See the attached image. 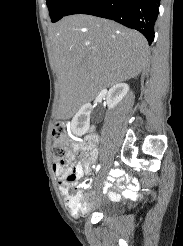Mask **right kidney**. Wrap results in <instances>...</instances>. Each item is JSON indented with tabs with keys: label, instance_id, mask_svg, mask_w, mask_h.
Segmentation results:
<instances>
[{
	"label": "right kidney",
	"instance_id": "1",
	"mask_svg": "<svg viewBox=\"0 0 183 246\" xmlns=\"http://www.w3.org/2000/svg\"><path fill=\"white\" fill-rule=\"evenodd\" d=\"M129 86L126 83H117L112 86L106 97L109 109L114 108L128 93ZM92 106L90 104L83 105L74 116L71 123V130L76 135L84 134L89 128V119Z\"/></svg>",
	"mask_w": 183,
	"mask_h": 246
}]
</instances>
